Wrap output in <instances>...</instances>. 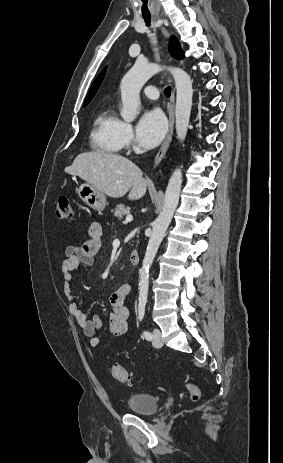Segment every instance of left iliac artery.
Returning <instances> with one entry per match:
<instances>
[{
    "label": "left iliac artery",
    "instance_id": "obj_1",
    "mask_svg": "<svg viewBox=\"0 0 283 463\" xmlns=\"http://www.w3.org/2000/svg\"><path fill=\"white\" fill-rule=\"evenodd\" d=\"M146 302L147 301L145 299H140L139 300V305H138V319H139V321H142V319L144 318ZM143 336L147 340L152 339V334L149 331H144Z\"/></svg>",
    "mask_w": 283,
    "mask_h": 463
}]
</instances>
